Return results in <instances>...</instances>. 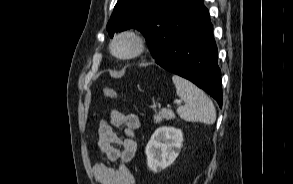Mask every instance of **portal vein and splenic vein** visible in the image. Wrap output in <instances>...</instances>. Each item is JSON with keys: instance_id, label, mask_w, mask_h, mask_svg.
<instances>
[{"instance_id": "1", "label": "portal vein and splenic vein", "mask_w": 293, "mask_h": 184, "mask_svg": "<svg viewBox=\"0 0 293 184\" xmlns=\"http://www.w3.org/2000/svg\"><path fill=\"white\" fill-rule=\"evenodd\" d=\"M174 103L181 105L182 101L181 100H176Z\"/></svg>"}]
</instances>
